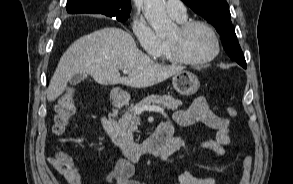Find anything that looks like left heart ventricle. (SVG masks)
<instances>
[{"label":"left heart ventricle","mask_w":293,"mask_h":184,"mask_svg":"<svg viewBox=\"0 0 293 184\" xmlns=\"http://www.w3.org/2000/svg\"><path fill=\"white\" fill-rule=\"evenodd\" d=\"M171 40H178L182 53L190 59H202L214 50V40L211 33L202 26H196L185 35L179 37L177 28L169 36Z\"/></svg>","instance_id":"obj_1"}]
</instances>
